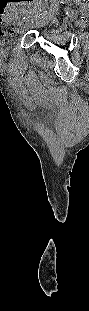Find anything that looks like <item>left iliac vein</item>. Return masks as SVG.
<instances>
[{
	"label": "left iliac vein",
	"instance_id": "4c4485c4",
	"mask_svg": "<svg viewBox=\"0 0 89 311\" xmlns=\"http://www.w3.org/2000/svg\"><path fill=\"white\" fill-rule=\"evenodd\" d=\"M51 2H52V5H51V8H50V12L53 11V10L55 9L56 5H57L56 0H51ZM49 14H50V13H49ZM47 17H48V13H47L46 16H45V19H46ZM29 23H30V20H28L27 26L29 25ZM21 32H22V31H21Z\"/></svg>",
	"mask_w": 89,
	"mask_h": 311
}]
</instances>
